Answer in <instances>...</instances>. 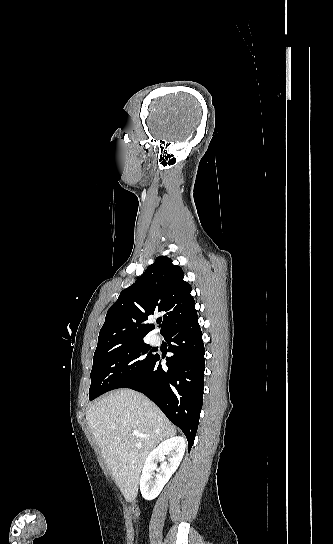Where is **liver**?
Masks as SVG:
<instances>
[{
  "label": "liver",
  "mask_w": 333,
  "mask_h": 544,
  "mask_svg": "<svg viewBox=\"0 0 333 544\" xmlns=\"http://www.w3.org/2000/svg\"><path fill=\"white\" fill-rule=\"evenodd\" d=\"M86 419L115 483L133 501L146 457L176 435L175 427L155 404L130 389L109 392L89 408ZM133 430L148 437H135Z\"/></svg>",
  "instance_id": "obj_1"
}]
</instances>
